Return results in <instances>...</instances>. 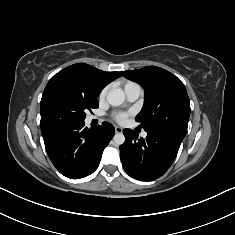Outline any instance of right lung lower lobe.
Listing matches in <instances>:
<instances>
[{
	"label": "right lung lower lobe",
	"mask_w": 235,
	"mask_h": 235,
	"mask_svg": "<svg viewBox=\"0 0 235 235\" xmlns=\"http://www.w3.org/2000/svg\"><path fill=\"white\" fill-rule=\"evenodd\" d=\"M41 132L53 165L64 176L78 179L97 169L115 129L108 122L88 129L83 121L41 126Z\"/></svg>",
	"instance_id": "1"
}]
</instances>
